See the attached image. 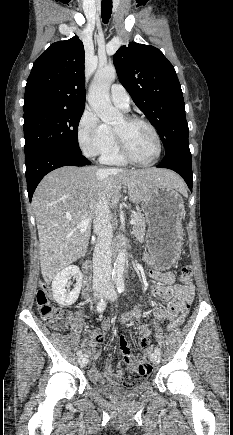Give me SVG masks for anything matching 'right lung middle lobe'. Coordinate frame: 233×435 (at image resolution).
<instances>
[{
	"instance_id": "dd1d6c3e",
	"label": "right lung middle lobe",
	"mask_w": 233,
	"mask_h": 435,
	"mask_svg": "<svg viewBox=\"0 0 233 435\" xmlns=\"http://www.w3.org/2000/svg\"><path fill=\"white\" fill-rule=\"evenodd\" d=\"M84 110H46L24 116L25 154L53 146L81 152L77 130Z\"/></svg>"
}]
</instances>
